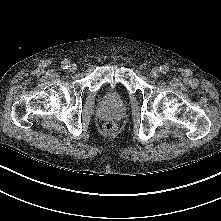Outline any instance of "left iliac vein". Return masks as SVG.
Here are the masks:
<instances>
[{"label":"left iliac vein","mask_w":221,"mask_h":221,"mask_svg":"<svg viewBox=\"0 0 221 221\" xmlns=\"http://www.w3.org/2000/svg\"><path fill=\"white\" fill-rule=\"evenodd\" d=\"M152 78H158L160 76V70L158 68H153L150 72Z\"/></svg>","instance_id":"1"}]
</instances>
